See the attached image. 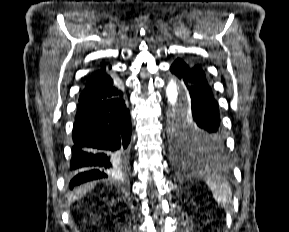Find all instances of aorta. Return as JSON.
<instances>
[{
	"label": "aorta",
	"instance_id": "obj_1",
	"mask_svg": "<svg viewBox=\"0 0 289 232\" xmlns=\"http://www.w3.org/2000/svg\"><path fill=\"white\" fill-rule=\"evenodd\" d=\"M166 96L170 105L174 107L173 117L188 113L190 107L188 95L181 96L180 88L173 80L169 81L166 86Z\"/></svg>",
	"mask_w": 289,
	"mask_h": 232
}]
</instances>
